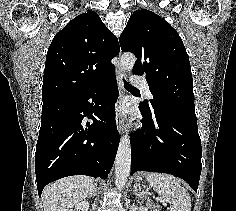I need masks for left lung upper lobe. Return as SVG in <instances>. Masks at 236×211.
<instances>
[{
	"label": "left lung upper lobe",
	"mask_w": 236,
	"mask_h": 211,
	"mask_svg": "<svg viewBox=\"0 0 236 211\" xmlns=\"http://www.w3.org/2000/svg\"><path fill=\"white\" fill-rule=\"evenodd\" d=\"M123 52H133V73L146 75L154 98L148 111L196 117L189 57L179 34L163 18L142 9L135 11L120 36Z\"/></svg>",
	"instance_id": "left-lung-upper-lobe-1"
}]
</instances>
